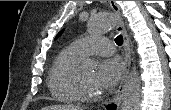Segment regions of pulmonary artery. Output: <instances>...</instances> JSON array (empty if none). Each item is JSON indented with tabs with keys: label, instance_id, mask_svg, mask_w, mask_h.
<instances>
[{
	"label": "pulmonary artery",
	"instance_id": "e3ab8cb5",
	"mask_svg": "<svg viewBox=\"0 0 171 110\" xmlns=\"http://www.w3.org/2000/svg\"><path fill=\"white\" fill-rule=\"evenodd\" d=\"M82 55L89 53L111 55L114 52L112 42L103 36L81 37L72 44Z\"/></svg>",
	"mask_w": 171,
	"mask_h": 110
}]
</instances>
